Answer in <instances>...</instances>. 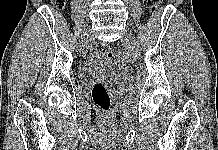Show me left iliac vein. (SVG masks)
Wrapping results in <instances>:
<instances>
[{
    "instance_id": "4c4485c4",
    "label": "left iliac vein",
    "mask_w": 218,
    "mask_h": 150,
    "mask_svg": "<svg viewBox=\"0 0 218 150\" xmlns=\"http://www.w3.org/2000/svg\"><path fill=\"white\" fill-rule=\"evenodd\" d=\"M125 40L127 41V40H128V38L126 37V38H125Z\"/></svg>"
}]
</instances>
